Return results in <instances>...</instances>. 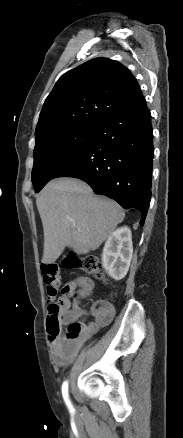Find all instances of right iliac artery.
Here are the masks:
<instances>
[{
  "mask_svg": "<svg viewBox=\"0 0 183 438\" xmlns=\"http://www.w3.org/2000/svg\"><path fill=\"white\" fill-rule=\"evenodd\" d=\"M62 395H63V398H64V400H65V402H66V405L68 406L69 410L72 411V410H73V407H72L71 402H70V400H69V395H68V382H67V381H65V382L63 383V385H62Z\"/></svg>",
  "mask_w": 183,
  "mask_h": 438,
  "instance_id": "right-iliac-artery-1",
  "label": "right iliac artery"
}]
</instances>
